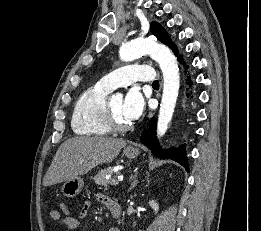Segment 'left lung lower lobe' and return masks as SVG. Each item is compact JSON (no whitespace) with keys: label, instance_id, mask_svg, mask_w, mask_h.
Here are the masks:
<instances>
[{"label":"left lung lower lobe","instance_id":"left-lung-lower-lobe-1","mask_svg":"<svg viewBox=\"0 0 261 231\" xmlns=\"http://www.w3.org/2000/svg\"><path fill=\"white\" fill-rule=\"evenodd\" d=\"M179 62L184 64L183 59L179 58ZM189 85L192 84L190 78H188ZM140 141L145 144L154 155L160 158L173 159L179 164L183 165L187 171H189L188 163L185 155V146L182 145L179 148H172L168 150H162L156 139V120L153 118L150 122L149 131L142 134Z\"/></svg>","mask_w":261,"mask_h":231}]
</instances>
